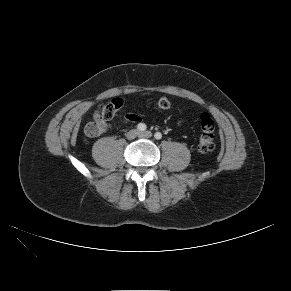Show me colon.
Masks as SVG:
<instances>
[{
    "mask_svg": "<svg viewBox=\"0 0 291 291\" xmlns=\"http://www.w3.org/2000/svg\"><path fill=\"white\" fill-rule=\"evenodd\" d=\"M157 106L159 109L166 110L170 108L171 103L166 97H162L158 100ZM122 107L123 102L119 99H114L111 103L103 106L94 120L85 126L84 133L89 137H96L102 134L108 128L110 119ZM200 124L201 134L198 141V149L202 153H209L215 149V123L209 114L203 113L200 116Z\"/></svg>",
    "mask_w": 291,
    "mask_h": 291,
    "instance_id": "1",
    "label": "colon"
}]
</instances>
